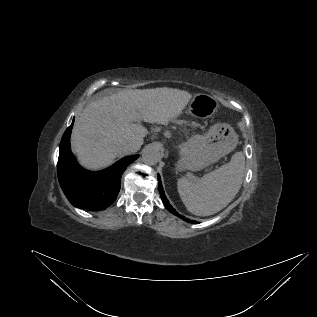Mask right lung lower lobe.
<instances>
[{
    "label": "right lung lower lobe",
    "instance_id": "obj_1",
    "mask_svg": "<svg viewBox=\"0 0 317 317\" xmlns=\"http://www.w3.org/2000/svg\"><path fill=\"white\" fill-rule=\"evenodd\" d=\"M72 127L73 122L65 131L59 148L57 171L61 188L75 207L105 209L116 200L121 186V175L138 155L125 157L100 172L87 171L79 166L71 152Z\"/></svg>",
    "mask_w": 317,
    "mask_h": 317
}]
</instances>
